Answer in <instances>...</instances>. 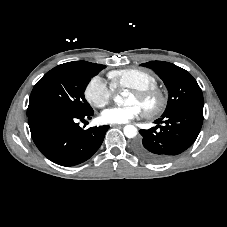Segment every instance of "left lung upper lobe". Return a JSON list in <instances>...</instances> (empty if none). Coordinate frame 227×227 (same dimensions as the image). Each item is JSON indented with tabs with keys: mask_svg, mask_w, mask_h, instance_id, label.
I'll return each instance as SVG.
<instances>
[{
	"mask_svg": "<svg viewBox=\"0 0 227 227\" xmlns=\"http://www.w3.org/2000/svg\"><path fill=\"white\" fill-rule=\"evenodd\" d=\"M141 66L152 69L168 89V103L162 116L185 109L203 111L202 91L189 72L164 61H150Z\"/></svg>",
	"mask_w": 227,
	"mask_h": 227,
	"instance_id": "1",
	"label": "left lung upper lobe"
}]
</instances>
